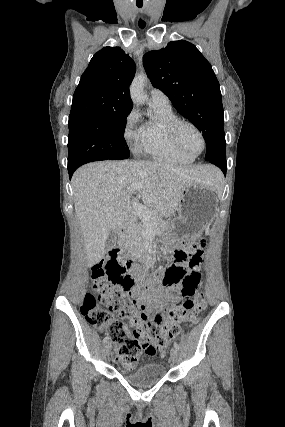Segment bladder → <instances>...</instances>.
<instances>
[{
	"label": "bladder",
	"mask_w": 285,
	"mask_h": 427,
	"mask_svg": "<svg viewBox=\"0 0 285 427\" xmlns=\"http://www.w3.org/2000/svg\"><path fill=\"white\" fill-rule=\"evenodd\" d=\"M165 367L160 363L143 365L136 370H121V375L137 387L158 383L165 375Z\"/></svg>",
	"instance_id": "bladder-1"
}]
</instances>
